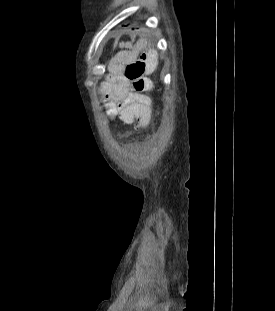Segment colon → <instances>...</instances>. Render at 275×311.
I'll return each instance as SVG.
<instances>
[{"mask_svg":"<svg viewBox=\"0 0 275 311\" xmlns=\"http://www.w3.org/2000/svg\"><path fill=\"white\" fill-rule=\"evenodd\" d=\"M155 65L154 57H140L138 60L129 64L126 68V76L131 80L135 90L144 92L151 88V80L148 74ZM121 127L119 124L116 126Z\"/></svg>","mask_w":275,"mask_h":311,"instance_id":"obj_1","label":"colon"}]
</instances>
